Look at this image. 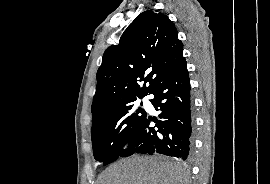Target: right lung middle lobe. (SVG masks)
Segmentation results:
<instances>
[{
  "label": "right lung middle lobe",
  "mask_w": 270,
  "mask_h": 184,
  "mask_svg": "<svg viewBox=\"0 0 270 184\" xmlns=\"http://www.w3.org/2000/svg\"><path fill=\"white\" fill-rule=\"evenodd\" d=\"M135 100L129 101L92 124L91 139L94 157L103 165L120 157L123 145L134 138L146 118V112L134 106Z\"/></svg>",
  "instance_id": "obj_1"
}]
</instances>
